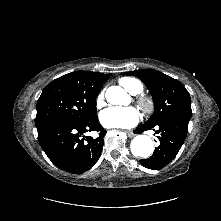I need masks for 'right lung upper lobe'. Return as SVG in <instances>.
<instances>
[{
	"label": "right lung upper lobe",
	"instance_id": "obj_1",
	"mask_svg": "<svg viewBox=\"0 0 221 221\" xmlns=\"http://www.w3.org/2000/svg\"><path fill=\"white\" fill-rule=\"evenodd\" d=\"M66 75L74 79L84 88L93 92H99L109 76V74L90 71H75Z\"/></svg>",
	"mask_w": 221,
	"mask_h": 221
}]
</instances>
